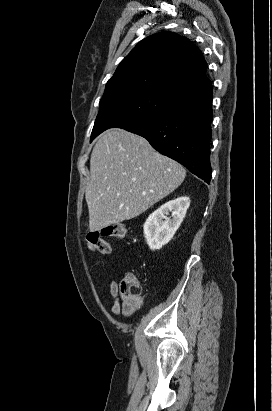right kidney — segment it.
<instances>
[{
	"mask_svg": "<svg viewBox=\"0 0 272 411\" xmlns=\"http://www.w3.org/2000/svg\"><path fill=\"white\" fill-rule=\"evenodd\" d=\"M189 205L190 198L182 196L163 204L149 215L144 224V236L151 250H159L173 238ZM169 212H172V218L167 217Z\"/></svg>",
	"mask_w": 272,
	"mask_h": 411,
	"instance_id": "right-kidney-1",
	"label": "right kidney"
}]
</instances>
